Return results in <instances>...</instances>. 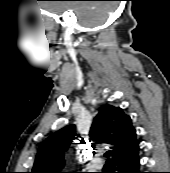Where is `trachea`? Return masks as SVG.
<instances>
[{"label":"trachea","mask_w":170,"mask_h":173,"mask_svg":"<svg viewBox=\"0 0 170 173\" xmlns=\"http://www.w3.org/2000/svg\"><path fill=\"white\" fill-rule=\"evenodd\" d=\"M111 152L107 151L104 156L107 158L108 161H110L109 157H110Z\"/></svg>","instance_id":"3493384b"}]
</instances>
